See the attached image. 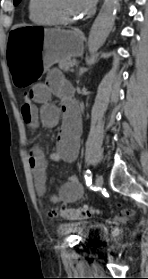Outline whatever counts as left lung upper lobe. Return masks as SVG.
<instances>
[{
	"instance_id": "5c2ea615",
	"label": "left lung upper lobe",
	"mask_w": 148,
	"mask_h": 279,
	"mask_svg": "<svg viewBox=\"0 0 148 279\" xmlns=\"http://www.w3.org/2000/svg\"><path fill=\"white\" fill-rule=\"evenodd\" d=\"M21 0H14V5H17Z\"/></svg>"
}]
</instances>
